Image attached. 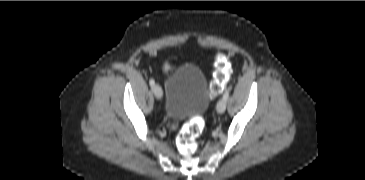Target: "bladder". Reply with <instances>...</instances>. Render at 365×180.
Returning a JSON list of instances; mask_svg holds the SVG:
<instances>
[{"label":"bladder","instance_id":"bladder-1","mask_svg":"<svg viewBox=\"0 0 365 180\" xmlns=\"http://www.w3.org/2000/svg\"><path fill=\"white\" fill-rule=\"evenodd\" d=\"M209 104L208 81L198 66L183 64L166 78L164 112L170 120L201 115Z\"/></svg>","mask_w":365,"mask_h":180}]
</instances>
